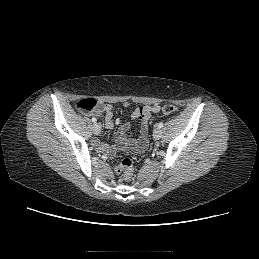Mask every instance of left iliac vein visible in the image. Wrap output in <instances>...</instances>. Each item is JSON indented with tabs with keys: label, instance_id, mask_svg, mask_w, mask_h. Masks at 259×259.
<instances>
[{
	"label": "left iliac vein",
	"instance_id": "obj_1",
	"mask_svg": "<svg viewBox=\"0 0 259 259\" xmlns=\"http://www.w3.org/2000/svg\"><path fill=\"white\" fill-rule=\"evenodd\" d=\"M161 136H162V130H161V128H159V127L155 128V130L153 131V137H154V139H155V140H158V139L161 138Z\"/></svg>",
	"mask_w": 259,
	"mask_h": 259
}]
</instances>
